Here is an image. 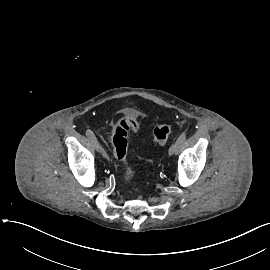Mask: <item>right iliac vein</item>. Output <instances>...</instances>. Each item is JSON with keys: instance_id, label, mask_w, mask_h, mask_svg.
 I'll use <instances>...</instances> for the list:
<instances>
[{"instance_id": "obj_1", "label": "right iliac vein", "mask_w": 270, "mask_h": 270, "mask_svg": "<svg viewBox=\"0 0 270 270\" xmlns=\"http://www.w3.org/2000/svg\"><path fill=\"white\" fill-rule=\"evenodd\" d=\"M91 140V143H92V146L93 148L97 151V152H100V144L99 142L97 141V139H90Z\"/></svg>"}]
</instances>
